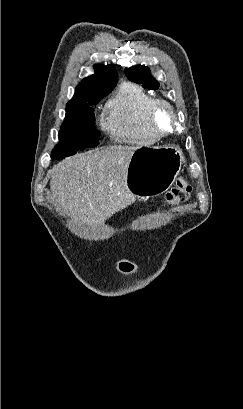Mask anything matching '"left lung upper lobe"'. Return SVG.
Listing matches in <instances>:
<instances>
[{"label": "left lung upper lobe", "mask_w": 243, "mask_h": 409, "mask_svg": "<svg viewBox=\"0 0 243 409\" xmlns=\"http://www.w3.org/2000/svg\"><path fill=\"white\" fill-rule=\"evenodd\" d=\"M125 74L131 81L141 83L150 89H157L160 86L156 79L151 76L149 68L144 65L126 68Z\"/></svg>", "instance_id": "obj_1"}]
</instances>
